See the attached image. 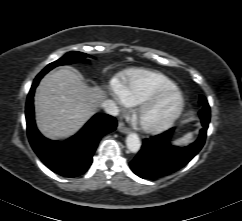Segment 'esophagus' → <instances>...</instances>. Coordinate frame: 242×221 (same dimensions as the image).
Segmentation results:
<instances>
[{"mask_svg":"<svg viewBox=\"0 0 242 221\" xmlns=\"http://www.w3.org/2000/svg\"><path fill=\"white\" fill-rule=\"evenodd\" d=\"M118 130H119L121 133L126 134V133L129 132L130 129H129L128 127H126L124 123L120 122V123L118 124Z\"/></svg>","mask_w":242,"mask_h":221,"instance_id":"34e87169","label":"esophagus"}]
</instances>
